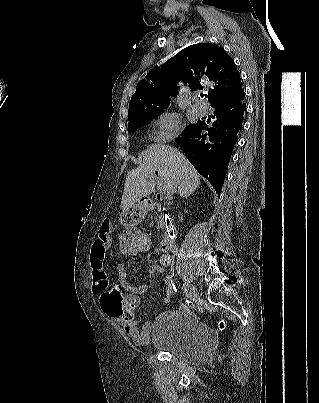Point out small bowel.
Listing matches in <instances>:
<instances>
[{"label":"small bowel","mask_w":319,"mask_h":403,"mask_svg":"<svg viewBox=\"0 0 319 403\" xmlns=\"http://www.w3.org/2000/svg\"><path fill=\"white\" fill-rule=\"evenodd\" d=\"M111 230V223L104 222L91 250L90 269L93 280L92 289L95 294L99 295L101 312H105L110 319L119 322L124 332L135 343L146 344L150 341L153 325L146 323L143 326H139L134 319V310L139 305V296L147 293L148 285H132L127 283L123 270H120L118 273V283L108 284L107 274L104 268V255L110 244L109 234ZM171 263V256L164 254L159 265L152 264L149 266L148 274H163L165 268L169 267ZM123 285H125L129 291L127 295ZM171 291L168 286V295L171 294ZM165 301H168V298H166Z\"/></svg>","instance_id":"c3829d8e"}]
</instances>
